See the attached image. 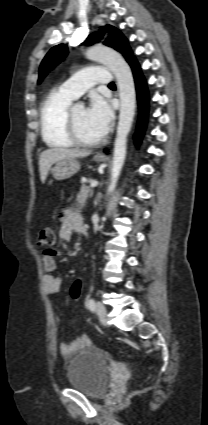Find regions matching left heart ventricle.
<instances>
[{
    "instance_id": "obj_1",
    "label": "left heart ventricle",
    "mask_w": 208,
    "mask_h": 425,
    "mask_svg": "<svg viewBox=\"0 0 208 425\" xmlns=\"http://www.w3.org/2000/svg\"><path fill=\"white\" fill-rule=\"evenodd\" d=\"M74 120L76 123L77 131L82 139L92 141L100 138V136L90 124L87 118L86 109L84 107H74Z\"/></svg>"
}]
</instances>
